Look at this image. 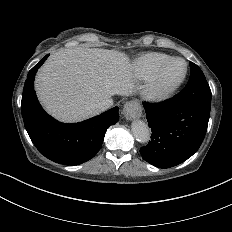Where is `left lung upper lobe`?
I'll use <instances>...</instances> for the list:
<instances>
[{"instance_id": "obj_1", "label": "left lung upper lobe", "mask_w": 232, "mask_h": 232, "mask_svg": "<svg viewBox=\"0 0 232 232\" xmlns=\"http://www.w3.org/2000/svg\"><path fill=\"white\" fill-rule=\"evenodd\" d=\"M190 79L185 88L175 96L176 99L195 103L205 109L211 107V90L201 69L190 62Z\"/></svg>"}]
</instances>
